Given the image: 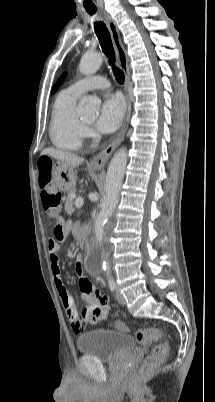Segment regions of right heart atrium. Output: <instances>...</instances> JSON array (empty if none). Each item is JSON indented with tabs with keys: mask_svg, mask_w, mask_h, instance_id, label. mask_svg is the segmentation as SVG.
<instances>
[{
	"mask_svg": "<svg viewBox=\"0 0 215 402\" xmlns=\"http://www.w3.org/2000/svg\"><path fill=\"white\" fill-rule=\"evenodd\" d=\"M95 136H96V134L91 128L84 127V137L94 138Z\"/></svg>",
	"mask_w": 215,
	"mask_h": 402,
	"instance_id": "d8ad5b80",
	"label": "right heart atrium"
}]
</instances>
